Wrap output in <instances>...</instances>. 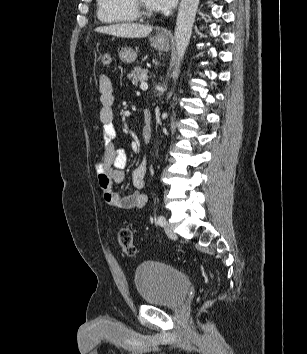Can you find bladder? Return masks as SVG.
<instances>
[{
    "instance_id": "obj_1",
    "label": "bladder",
    "mask_w": 307,
    "mask_h": 354,
    "mask_svg": "<svg viewBox=\"0 0 307 354\" xmlns=\"http://www.w3.org/2000/svg\"><path fill=\"white\" fill-rule=\"evenodd\" d=\"M134 283L146 304L159 306L180 304L190 287V279L183 271L159 261L140 263Z\"/></svg>"
}]
</instances>
